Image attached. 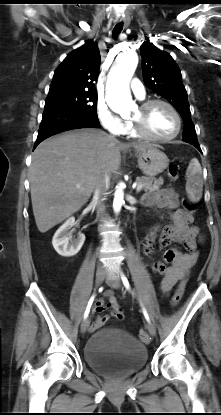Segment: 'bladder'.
Wrapping results in <instances>:
<instances>
[{
    "instance_id": "obj_1",
    "label": "bladder",
    "mask_w": 221,
    "mask_h": 415,
    "mask_svg": "<svg viewBox=\"0 0 221 415\" xmlns=\"http://www.w3.org/2000/svg\"><path fill=\"white\" fill-rule=\"evenodd\" d=\"M84 359L96 372L120 377L141 369L148 360V351L133 335L105 328L90 337L84 348Z\"/></svg>"
}]
</instances>
